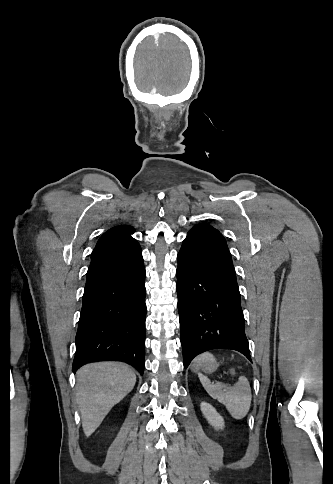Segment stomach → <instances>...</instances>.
<instances>
[{"label":"stomach","mask_w":333,"mask_h":484,"mask_svg":"<svg viewBox=\"0 0 333 484\" xmlns=\"http://www.w3.org/2000/svg\"><path fill=\"white\" fill-rule=\"evenodd\" d=\"M218 367L216 359L210 353H204L197 357L192 364V371L197 372L199 370L204 373H212Z\"/></svg>","instance_id":"obj_1"}]
</instances>
